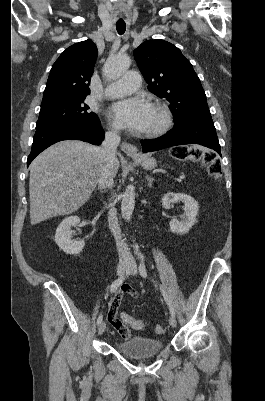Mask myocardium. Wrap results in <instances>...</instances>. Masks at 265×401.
Masks as SVG:
<instances>
[{
	"label": "myocardium",
	"mask_w": 265,
	"mask_h": 401,
	"mask_svg": "<svg viewBox=\"0 0 265 401\" xmlns=\"http://www.w3.org/2000/svg\"><path fill=\"white\" fill-rule=\"evenodd\" d=\"M159 112L158 124L150 130H144L145 136H156L164 132L170 125L172 114L169 108L162 102L156 101L151 104Z\"/></svg>",
	"instance_id": "1"
}]
</instances>
